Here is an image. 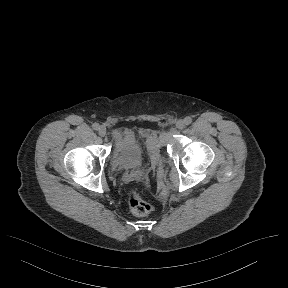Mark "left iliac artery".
Instances as JSON below:
<instances>
[{
    "mask_svg": "<svg viewBox=\"0 0 288 288\" xmlns=\"http://www.w3.org/2000/svg\"><path fill=\"white\" fill-rule=\"evenodd\" d=\"M184 122H185L186 125H189L192 122V118L187 116V117L184 118Z\"/></svg>",
    "mask_w": 288,
    "mask_h": 288,
    "instance_id": "left-iliac-artery-1",
    "label": "left iliac artery"
}]
</instances>
